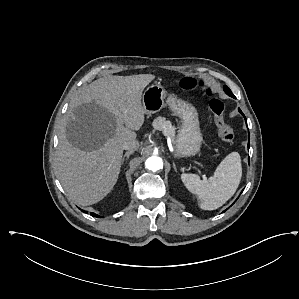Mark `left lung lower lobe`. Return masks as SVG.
Segmentation results:
<instances>
[{"label":"left lung lower lobe","mask_w":299,"mask_h":299,"mask_svg":"<svg viewBox=\"0 0 299 299\" xmlns=\"http://www.w3.org/2000/svg\"><path fill=\"white\" fill-rule=\"evenodd\" d=\"M231 97L236 98L234 95H232ZM239 112L244 116V114L242 113V111L240 109H239ZM245 120H246V118H245ZM246 123H247V120H246ZM249 146H250V143L248 142V149H249Z\"/></svg>","instance_id":"0a47b994"}]
</instances>
